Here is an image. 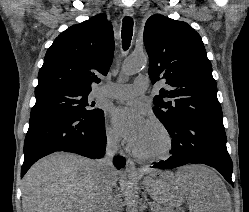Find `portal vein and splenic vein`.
Instances as JSON below:
<instances>
[{
  "label": "portal vein and splenic vein",
  "mask_w": 249,
  "mask_h": 212,
  "mask_svg": "<svg viewBox=\"0 0 249 212\" xmlns=\"http://www.w3.org/2000/svg\"><path fill=\"white\" fill-rule=\"evenodd\" d=\"M153 212H156V210H153ZM166 212H167V210H166Z\"/></svg>",
  "instance_id": "1"
}]
</instances>
